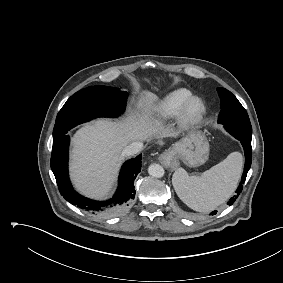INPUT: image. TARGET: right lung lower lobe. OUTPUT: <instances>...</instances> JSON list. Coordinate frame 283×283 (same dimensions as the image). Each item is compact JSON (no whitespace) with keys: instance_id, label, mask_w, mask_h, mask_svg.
<instances>
[{"instance_id":"1","label":"right lung lower lobe","mask_w":283,"mask_h":283,"mask_svg":"<svg viewBox=\"0 0 283 283\" xmlns=\"http://www.w3.org/2000/svg\"><path fill=\"white\" fill-rule=\"evenodd\" d=\"M69 141L70 138L67 134L53 140L51 169L61 195L71 204L92 214L111 216L121 212L135 197L134 180L141 171V155L125 162L122 166L118 189L112 199L94 201L73 190L68 175Z\"/></svg>"}]
</instances>
